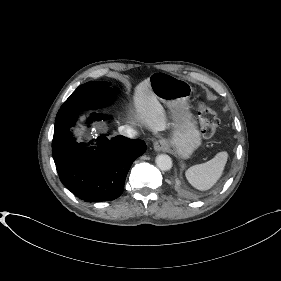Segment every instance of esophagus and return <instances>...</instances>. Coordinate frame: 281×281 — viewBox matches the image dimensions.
<instances>
[{
    "mask_svg": "<svg viewBox=\"0 0 281 281\" xmlns=\"http://www.w3.org/2000/svg\"><path fill=\"white\" fill-rule=\"evenodd\" d=\"M153 148L157 152L165 151L168 148V143L165 139H160L154 142Z\"/></svg>",
    "mask_w": 281,
    "mask_h": 281,
    "instance_id": "obj_1",
    "label": "esophagus"
}]
</instances>
